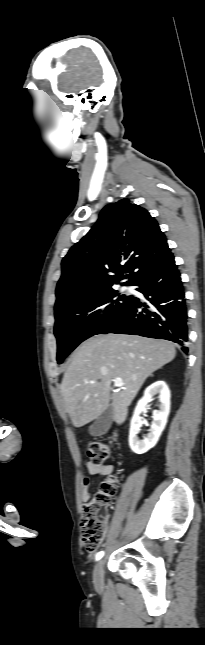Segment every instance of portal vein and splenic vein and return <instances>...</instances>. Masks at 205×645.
<instances>
[{
  "label": "portal vein and splenic vein",
  "mask_w": 205,
  "mask_h": 645,
  "mask_svg": "<svg viewBox=\"0 0 205 645\" xmlns=\"http://www.w3.org/2000/svg\"><path fill=\"white\" fill-rule=\"evenodd\" d=\"M113 382H114V386L118 388H122L125 385V383L121 378H116L113 380Z\"/></svg>",
  "instance_id": "obj_1"
}]
</instances>
